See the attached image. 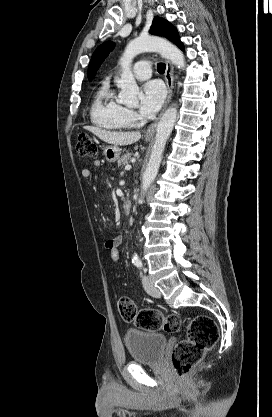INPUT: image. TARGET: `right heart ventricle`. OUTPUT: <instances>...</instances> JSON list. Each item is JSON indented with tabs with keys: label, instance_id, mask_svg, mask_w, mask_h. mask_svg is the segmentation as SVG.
<instances>
[{
	"label": "right heart ventricle",
	"instance_id": "obj_1",
	"mask_svg": "<svg viewBox=\"0 0 272 417\" xmlns=\"http://www.w3.org/2000/svg\"><path fill=\"white\" fill-rule=\"evenodd\" d=\"M92 122L106 130H122L130 126L124 107L116 99L109 84H103L96 92L91 106Z\"/></svg>",
	"mask_w": 272,
	"mask_h": 417
}]
</instances>
